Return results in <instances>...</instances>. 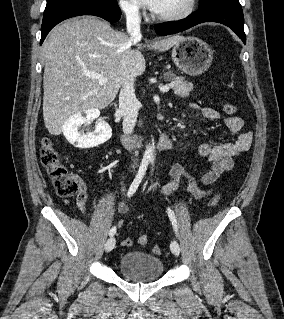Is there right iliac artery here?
Wrapping results in <instances>:
<instances>
[{
    "label": "right iliac artery",
    "instance_id": "obj_1",
    "mask_svg": "<svg viewBox=\"0 0 284 319\" xmlns=\"http://www.w3.org/2000/svg\"><path fill=\"white\" fill-rule=\"evenodd\" d=\"M148 164H149L148 159L142 160L141 165L139 167L138 174L136 175L135 179L133 180L131 186L129 187V190L127 193L128 197H131L136 192L138 186L140 185V183H141V181L146 173ZM115 233H116V227L114 226L110 229L109 235L113 236Z\"/></svg>",
    "mask_w": 284,
    "mask_h": 319
}]
</instances>
